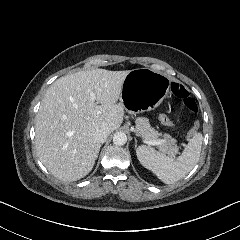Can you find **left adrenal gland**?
Masks as SVG:
<instances>
[{
	"instance_id": "obj_1",
	"label": "left adrenal gland",
	"mask_w": 240,
	"mask_h": 240,
	"mask_svg": "<svg viewBox=\"0 0 240 240\" xmlns=\"http://www.w3.org/2000/svg\"><path fill=\"white\" fill-rule=\"evenodd\" d=\"M134 141H135V148L137 147V139L136 137H134Z\"/></svg>"
}]
</instances>
